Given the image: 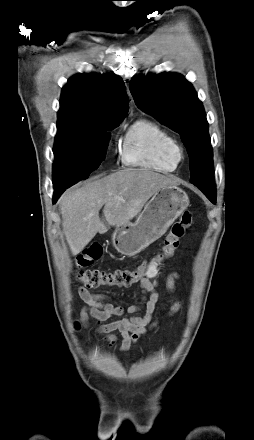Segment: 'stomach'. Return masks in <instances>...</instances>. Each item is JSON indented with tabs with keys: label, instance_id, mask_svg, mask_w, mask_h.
<instances>
[{
	"label": "stomach",
	"instance_id": "1",
	"mask_svg": "<svg viewBox=\"0 0 254 440\" xmlns=\"http://www.w3.org/2000/svg\"><path fill=\"white\" fill-rule=\"evenodd\" d=\"M188 205V195L182 189L175 185L161 187L134 223L116 227L113 246L122 255L138 254L159 239Z\"/></svg>",
	"mask_w": 254,
	"mask_h": 440
}]
</instances>
